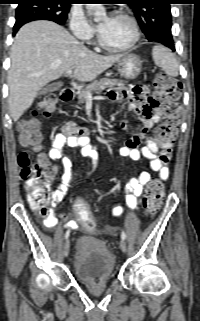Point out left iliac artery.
I'll return each mask as SVG.
<instances>
[{"label": "left iliac artery", "instance_id": "obj_1", "mask_svg": "<svg viewBox=\"0 0 200 321\" xmlns=\"http://www.w3.org/2000/svg\"><path fill=\"white\" fill-rule=\"evenodd\" d=\"M121 238H122V240L126 239V233L124 231H122V233H121Z\"/></svg>", "mask_w": 200, "mask_h": 321}]
</instances>
